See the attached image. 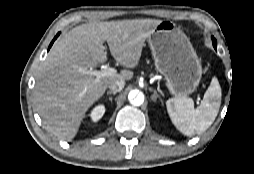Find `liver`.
<instances>
[{
    "mask_svg": "<svg viewBox=\"0 0 254 174\" xmlns=\"http://www.w3.org/2000/svg\"><path fill=\"white\" fill-rule=\"evenodd\" d=\"M158 19L90 22L67 32L56 42L36 77L34 103L52 135L73 139L88 109L105 93L110 83L133 77L131 70L96 80L88 74L107 60L103 43L126 68H135L146 39L161 23Z\"/></svg>",
    "mask_w": 254,
    "mask_h": 174,
    "instance_id": "obj_1",
    "label": "liver"
}]
</instances>
